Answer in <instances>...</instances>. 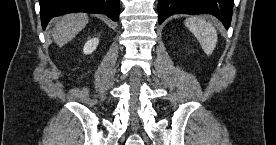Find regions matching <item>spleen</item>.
<instances>
[{"label": "spleen", "mask_w": 276, "mask_h": 145, "mask_svg": "<svg viewBox=\"0 0 276 145\" xmlns=\"http://www.w3.org/2000/svg\"><path fill=\"white\" fill-rule=\"evenodd\" d=\"M185 25L195 35L203 51L211 55L217 44L216 29L200 17L188 18Z\"/></svg>", "instance_id": "1"}]
</instances>
